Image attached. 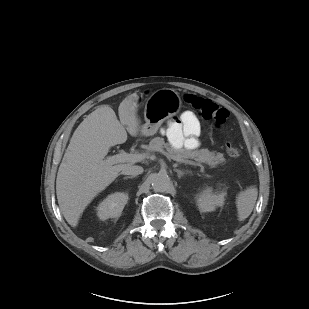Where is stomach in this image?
I'll return each mask as SVG.
<instances>
[{
	"label": "stomach",
	"mask_w": 309,
	"mask_h": 309,
	"mask_svg": "<svg viewBox=\"0 0 309 309\" xmlns=\"http://www.w3.org/2000/svg\"><path fill=\"white\" fill-rule=\"evenodd\" d=\"M181 104V98L174 89L163 88L153 92L145 104V124L141 126L140 134L154 135L165 120L179 112Z\"/></svg>",
	"instance_id": "obj_1"
}]
</instances>
